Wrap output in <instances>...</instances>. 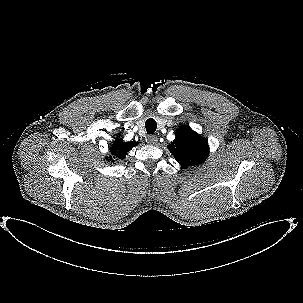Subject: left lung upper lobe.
I'll list each match as a JSON object with an SVG mask.
<instances>
[{"label": "left lung upper lobe", "instance_id": "left-lung-upper-lobe-1", "mask_svg": "<svg viewBox=\"0 0 303 303\" xmlns=\"http://www.w3.org/2000/svg\"><path fill=\"white\" fill-rule=\"evenodd\" d=\"M168 149L184 168L201 164L209 154L208 141L188 126L177 129L176 138L168 145Z\"/></svg>", "mask_w": 303, "mask_h": 303}]
</instances>
